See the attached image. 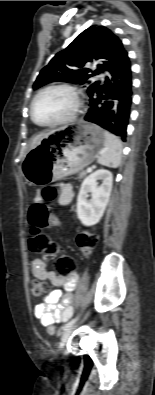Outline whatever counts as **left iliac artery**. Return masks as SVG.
I'll list each match as a JSON object with an SVG mask.
<instances>
[{"label": "left iliac artery", "instance_id": "44dca946", "mask_svg": "<svg viewBox=\"0 0 155 395\" xmlns=\"http://www.w3.org/2000/svg\"><path fill=\"white\" fill-rule=\"evenodd\" d=\"M77 317L72 319L71 321H69L67 324H65L62 329L65 331L66 329H68L69 327H71L76 321H77Z\"/></svg>", "mask_w": 155, "mask_h": 395}]
</instances>
